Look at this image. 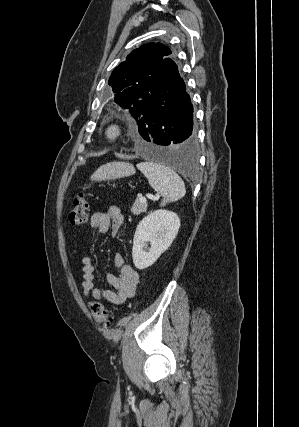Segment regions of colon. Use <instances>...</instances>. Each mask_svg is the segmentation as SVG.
<instances>
[{
    "label": "colon",
    "mask_w": 299,
    "mask_h": 427,
    "mask_svg": "<svg viewBox=\"0 0 299 427\" xmlns=\"http://www.w3.org/2000/svg\"><path fill=\"white\" fill-rule=\"evenodd\" d=\"M89 203L86 195L80 192L73 200L72 207L69 211V223L73 227H80L85 224L87 219ZM90 309L94 320L101 326L108 327L111 324V314L100 302H92Z\"/></svg>",
    "instance_id": "obj_1"
}]
</instances>
